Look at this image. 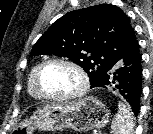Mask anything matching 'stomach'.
Segmentation results:
<instances>
[{
	"mask_svg": "<svg viewBox=\"0 0 153 134\" xmlns=\"http://www.w3.org/2000/svg\"><path fill=\"white\" fill-rule=\"evenodd\" d=\"M108 117V110L101 101L86 97L72 103L47 105L20 122L14 133L33 134L34 130L56 132L67 128L85 132L105 126Z\"/></svg>",
	"mask_w": 153,
	"mask_h": 134,
	"instance_id": "stomach-1",
	"label": "stomach"
}]
</instances>
